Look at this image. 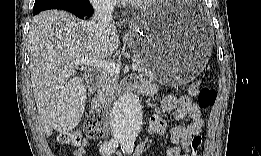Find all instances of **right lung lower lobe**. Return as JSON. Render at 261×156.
Instances as JSON below:
<instances>
[{
	"instance_id": "1",
	"label": "right lung lower lobe",
	"mask_w": 261,
	"mask_h": 156,
	"mask_svg": "<svg viewBox=\"0 0 261 156\" xmlns=\"http://www.w3.org/2000/svg\"><path fill=\"white\" fill-rule=\"evenodd\" d=\"M52 9L66 10L80 18L90 17L93 13V7L88 0H74L71 5L60 6ZM41 11L43 10L33 11V14H37Z\"/></svg>"
}]
</instances>
